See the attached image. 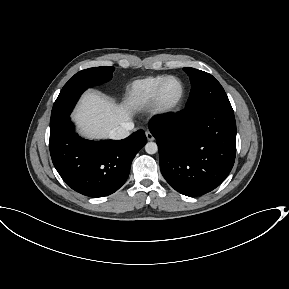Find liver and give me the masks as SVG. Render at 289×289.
Here are the masks:
<instances>
[{"instance_id": "6515ba94", "label": "liver", "mask_w": 289, "mask_h": 289, "mask_svg": "<svg viewBox=\"0 0 289 289\" xmlns=\"http://www.w3.org/2000/svg\"><path fill=\"white\" fill-rule=\"evenodd\" d=\"M73 119L79 132L89 138L108 137L110 131L131 119L126 105H116L106 96L88 91L78 104Z\"/></svg>"}]
</instances>
